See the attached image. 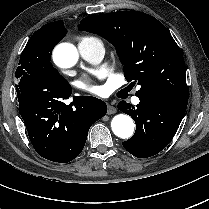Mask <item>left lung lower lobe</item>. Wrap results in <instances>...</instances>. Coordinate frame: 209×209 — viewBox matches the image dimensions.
I'll use <instances>...</instances> for the list:
<instances>
[{
    "instance_id": "0a47b994",
    "label": "left lung lower lobe",
    "mask_w": 209,
    "mask_h": 209,
    "mask_svg": "<svg viewBox=\"0 0 209 209\" xmlns=\"http://www.w3.org/2000/svg\"><path fill=\"white\" fill-rule=\"evenodd\" d=\"M136 108L125 101L118 109L136 123L135 134L123 142L124 148L138 158L151 157L163 150L174 137L187 108V102L163 99L156 95L138 96Z\"/></svg>"
}]
</instances>
